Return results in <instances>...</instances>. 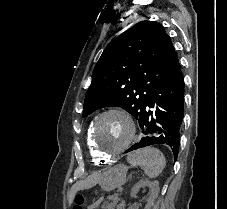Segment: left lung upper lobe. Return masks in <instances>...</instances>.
Returning <instances> with one entry per match:
<instances>
[{
    "mask_svg": "<svg viewBox=\"0 0 227 209\" xmlns=\"http://www.w3.org/2000/svg\"><path fill=\"white\" fill-rule=\"evenodd\" d=\"M178 62L162 25L153 21L137 23L103 51L85 96L83 117L103 107L119 106L138 120Z\"/></svg>",
    "mask_w": 227,
    "mask_h": 209,
    "instance_id": "obj_1",
    "label": "left lung upper lobe"
}]
</instances>
